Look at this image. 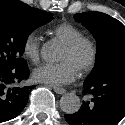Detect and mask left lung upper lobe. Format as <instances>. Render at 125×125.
Masks as SVG:
<instances>
[{
	"label": "left lung upper lobe",
	"instance_id": "obj_1",
	"mask_svg": "<svg viewBox=\"0 0 125 125\" xmlns=\"http://www.w3.org/2000/svg\"><path fill=\"white\" fill-rule=\"evenodd\" d=\"M74 18L97 41L95 66L86 81H94L109 72H125V26L101 12L78 13Z\"/></svg>",
	"mask_w": 125,
	"mask_h": 125
}]
</instances>
